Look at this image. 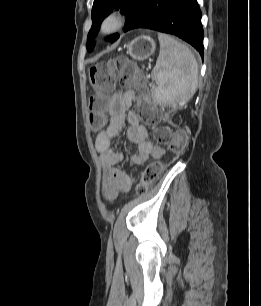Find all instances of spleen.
I'll list each match as a JSON object with an SVG mask.
<instances>
[{"mask_svg":"<svg viewBox=\"0 0 261 306\" xmlns=\"http://www.w3.org/2000/svg\"><path fill=\"white\" fill-rule=\"evenodd\" d=\"M160 53L152 71L157 86L154 101L163 106L183 105L194 95L198 83V63L191 50L174 38L158 34Z\"/></svg>","mask_w":261,"mask_h":306,"instance_id":"obj_1","label":"spleen"}]
</instances>
